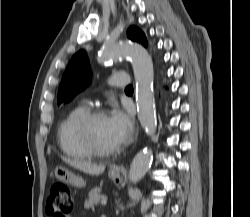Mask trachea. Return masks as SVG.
Instances as JSON below:
<instances>
[{
  "instance_id": "obj_1",
  "label": "trachea",
  "mask_w": 250,
  "mask_h": 217,
  "mask_svg": "<svg viewBox=\"0 0 250 217\" xmlns=\"http://www.w3.org/2000/svg\"><path fill=\"white\" fill-rule=\"evenodd\" d=\"M125 90H126V91H128V90H133V86H132V85H129V86L126 87Z\"/></svg>"
}]
</instances>
